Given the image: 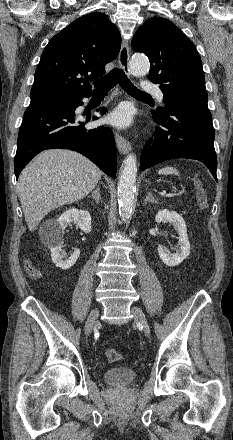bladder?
Returning <instances> with one entry per match:
<instances>
[{"label": "bladder", "instance_id": "obj_1", "mask_svg": "<svg viewBox=\"0 0 233 440\" xmlns=\"http://www.w3.org/2000/svg\"><path fill=\"white\" fill-rule=\"evenodd\" d=\"M137 373L129 367L108 369L103 373L104 380L116 387H127L136 379Z\"/></svg>", "mask_w": 233, "mask_h": 440}]
</instances>
